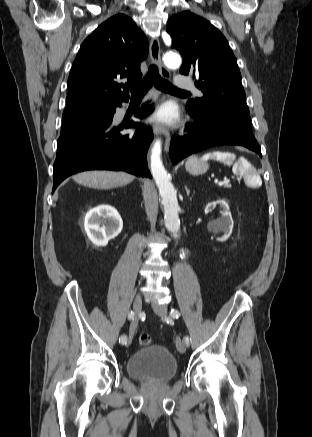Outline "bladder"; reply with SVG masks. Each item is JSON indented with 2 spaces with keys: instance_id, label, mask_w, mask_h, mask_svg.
Returning a JSON list of instances; mask_svg holds the SVG:
<instances>
[{
  "instance_id": "obj_1",
  "label": "bladder",
  "mask_w": 312,
  "mask_h": 437,
  "mask_svg": "<svg viewBox=\"0 0 312 437\" xmlns=\"http://www.w3.org/2000/svg\"><path fill=\"white\" fill-rule=\"evenodd\" d=\"M127 374L142 382L166 383L178 371L176 359L171 352L159 344L139 348L126 362Z\"/></svg>"
}]
</instances>
